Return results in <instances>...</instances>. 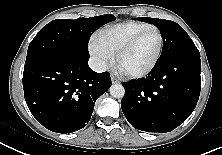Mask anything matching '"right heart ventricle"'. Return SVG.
Instances as JSON below:
<instances>
[{
    "label": "right heart ventricle",
    "instance_id": "e07e8e85",
    "mask_svg": "<svg viewBox=\"0 0 222 155\" xmlns=\"http://www.w3.org/2000/svg\"><path fill=\"white\" fill-rule=\"evenodd\" d=\"M153 26V24L147 22L125 21L105 27L98 32L97 37L102 44L114 54L133 36Z\"/></svg>",
    "mask_w": 222,
    "mask_h": 155
}]
</instances>
